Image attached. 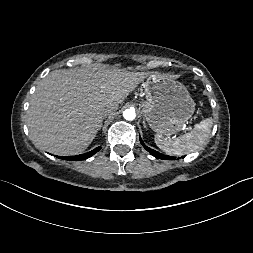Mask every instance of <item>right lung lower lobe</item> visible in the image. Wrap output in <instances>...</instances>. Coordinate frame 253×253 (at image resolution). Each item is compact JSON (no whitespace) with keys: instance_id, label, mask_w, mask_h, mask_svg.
<instances>
[{"instance_id":"right-lung-lower-lobe-1","label":"right lung lower lobe","mask_w":253,"mask_h":253,"mask_svg":"<svg viewBox=\"0 0 253 253\" xmlns=\"http://www.w3.org/2000/svg\"><path fill=\"white\" fill-rule=\"evenodd\" d=\"M100 149H101V147H97L94 150H92L88 153H85V154L76 155V156H67V157H59V156H57V157L61 158V159H64V160H85V159L91 157L92 155H94Z\"/></svg>"}]
</instances>
